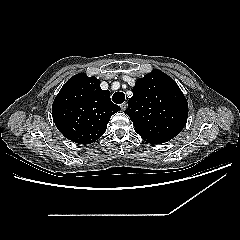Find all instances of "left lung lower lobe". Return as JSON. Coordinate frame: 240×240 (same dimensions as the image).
<instances>
[{"mask_svg": "<svg viewBox=\"0 0 240 240\" xmlns=\"http://www.w3.org/2000/svg\"><path fill=\"white\" fill-rule=\"evenodd\" d=\"M161 143H164V142H162V141H156V142H154V144H161Z\"/></svg>", "mask_w": 240, "mask_h": 240, "instance_id": "left-lung-lower-lobe-1", "label": "left lung lower lobe"}]
</instances>
